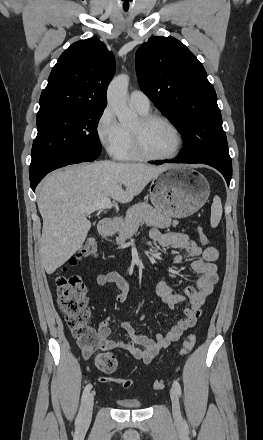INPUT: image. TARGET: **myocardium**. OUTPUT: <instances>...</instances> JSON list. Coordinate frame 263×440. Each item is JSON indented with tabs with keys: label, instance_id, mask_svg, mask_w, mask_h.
Returning a JSON list of instances; mask_svg holds the SVG:
<instances>
[{
	"label": "myocardium",
	"instance_id": "myocardium-1",
	"mask_svg": "<svg viewBox=\"0 0 263 440\" xmlns=\"http://www.w3.org/2000/svg\"><path fill=\"white\" fill-rule=\"evenodd\" d=\"M155 121H162L166 123L174 132L177 140V145L175 150L168 155H153L147 151L143 144L142 139V130L144 127L148 126L149 124L155 122ZM130 135L132 140V147L135 152V154L140 158L144 160H150V161H166V160H172L176 158L184 144V139L181 131L176 126V124L168 117L161 115V114H144L139 117V128H130Z\"/></svg>",
	"mask_w": 263,
	"mask_h": 440
}]
</instances>
